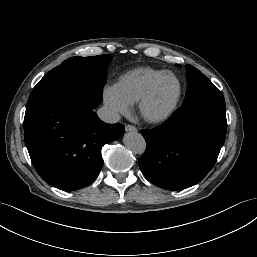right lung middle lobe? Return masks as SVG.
I'll return each instance as SVG.
<instances>
[{
  "mask_svg": "<svg viewBox=\"0 0 257 257\" xmlns=\"http://www.w3.org/2000/svg\"><path fill=\"white\" fill-rule=\"evenodd\" d=\"M111 54L93 57H72L49 71L34 87L33 91L46 89L60 84L82 82L102 96L106 83V71Z\"/></svg>",
  "mask_w": 257,
  "mask_h": 257,
  "instance_id": "1",
  "label": "right lung middle lobe"
}]
</instances>
